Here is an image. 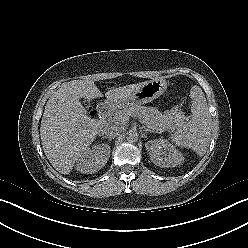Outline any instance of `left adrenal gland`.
<instances>
[{
    "instance_id": "obj_1",
    "label": "left adrenal gland",
    "mask_w": 248,
    "mask_h": 248,
    "mask_svg": "<svg viewBox=\"0 0 248 248\" xmlns=\"http://www.w3.org/2000/svg\"><path fill=\"white\" fill-rule=\"evenodd\" d=\"M148 132H153V131H150L149 129H145V133L147 134Z\"/></svg>"
}]
</instances>
